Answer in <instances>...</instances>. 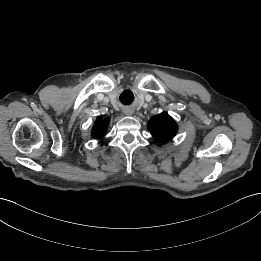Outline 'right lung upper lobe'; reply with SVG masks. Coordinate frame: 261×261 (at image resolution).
<instances>
[{
  "instance_id": "right-lung-upper-lobe-1",
  "label": "right lung upper lobe",
  "mask_w": 261,
  "mask_h": 261,
  "mask_svg": "<svg viewBox=\"0 0 261 261\" xmlns=\"http://www.w3.org/2000/svg\"><path fill=\"white\" fill-rule=\"evenodd\" d=\"M100 122V120L99 121H97V123H99ZM105 126H106V121L104 122V121H102L100 124H99V126L98 127H94L93 128V131H92V136L93 137H99V136H102V134H103V130L105 129Z\"/></svg>"
}]
</instances>
